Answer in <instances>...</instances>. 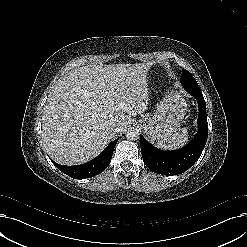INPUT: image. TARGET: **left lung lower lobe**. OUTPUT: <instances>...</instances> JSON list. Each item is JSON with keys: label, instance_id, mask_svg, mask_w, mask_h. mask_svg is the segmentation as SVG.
Here are the masks:
<instances>
[{"label": "left lung lower lobe", "instance_id": "obj_1", "mask_svg": "<svg viewBox=\"0 0 247 247\" xmlns=\"http://www.w3.org/2000/svg\"><path fill=\"white\" fill-rule=\"evenodd\" d=\"M198 102V133L184 148L176 151H162L152 146L143 136L140 137L144 164L153 172L162 175H178L185 172L199 159L208 137L206 104L198 85H183Z\"/></svg>", "mask_w": 247, "mask_h": 247}]
</instances>
